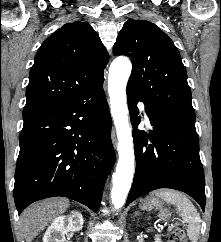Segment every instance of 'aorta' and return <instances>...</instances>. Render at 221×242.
I'll return each mask as SVG.
<instances>
[{"mask_svg":"<svg viewBox=\"0 0 221 242\" xmlns=\"http://www.w3.org/2000/svg\"><path fill=\"white\" fill-rule=\"evenodd\" d=\"M131 70L130 60L127 57H118L112 62L108 76L111 115L116 127L119 152L111 191V201L116 209L124 205L134 175L133 138L126 103V85Z\"/></svg>","mask_w":221,"mask_h":242,"instance_id":"obj_1","label":"aorta"}]
</instances>
